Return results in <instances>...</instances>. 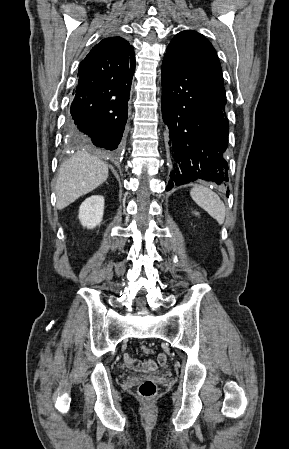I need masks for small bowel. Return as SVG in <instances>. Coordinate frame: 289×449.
Here are the masks:
<instances>
[{
	"label": "small bowel",
	"instance_id": "small-bowel-1",
	"mask_svg": "<svg viewBox=\"0 0 289 449\" xmlns=\"http://www.w3.org/2000/svg\"><path fill=\"white\" fill-rule=\"evenodd\" d=\"M167 353L165 351H160L158 353V359L155 360H147V361H139L134 359L129 354L124 355V364L126 367L132 369V370H144V371H153L157 367L164 369L167 366Z\"/></svg>",
	"mask_w": 289,
	"mask_h": 449
}]
</instances>
